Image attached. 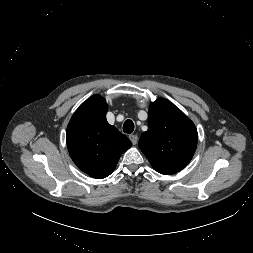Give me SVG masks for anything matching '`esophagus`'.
Masks as SVG:
<instances>
[{"label":"esophagus","instance_id":"obj_1","mask_svg":"<svg viewBox=\"0 0 253 253\" xmlns=\"http://www.w3.org/2000/svg\"><path fill=\"white\" fill-rule=\"evenodd\" d=\"M129 139L131 140V142H132L133 145H136L137 142H138V136L135 135V134L129 135Z\"/></svg>","mask_w":253,"mask_h":253}]
</instances>
